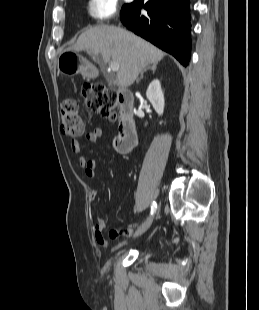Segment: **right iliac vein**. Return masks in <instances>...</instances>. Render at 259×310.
Instances as JSON below:
<instances>
[{"instance_id":"obj_1","label":"right iliac vein","mask_w":259,"mask_h":310,"mask_svg":"<svg viewBox=\"0 0 259 310\" xmlns=\"http://www.w3.org/2000/svg\"><path fill=\"white\" fill-rule=\"evenodd\" d=\"M153 221V217L148 219L146 222H144L135 232L134 237H138L142 235L144 232H146L149 227L151 226Z\"/></svg>"}]
</instances>
